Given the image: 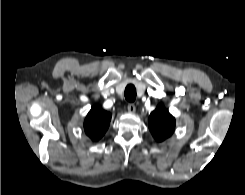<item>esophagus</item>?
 Returning <instances> with one entry per match:
<instances>
[{
  "label": "esophagus",
  "instance_id": "obj_1",
  "mask_svg": "<svg viewBox=\"0 0 245 195\" xmlns=\"http://www.w3.org/2000/svg\"><path fill=\"white\" fill-rule=\"evenodd\" d=\"M127 110H128V112H130V113H134V112L136 111V106H135V104H134V103L128 104Z\"/></svg>",
  "mask_w": 245,
  "mask_h": 195
}]
</instances>
